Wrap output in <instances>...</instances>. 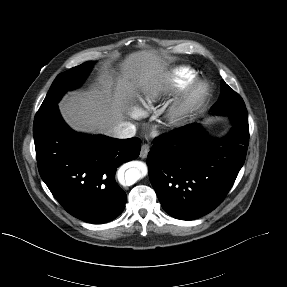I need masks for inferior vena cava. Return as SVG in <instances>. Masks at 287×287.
<instances>
[{"instance_id":"obj_1","label":"inferior vena cava","mask_w":287,"mask_h":287,"mask_svg":"<svg viewBox=\"0 0 287 287\" xmlns=\"http://www.w3.org/2000/svg\"><path fill=\"white\" fill-rule=\"evenodd\" d=\"M135 134L136 126L127 121L119 123L111 130V136L119 139L131 138L134 137Z\"/></svg>"}]
</instances>
